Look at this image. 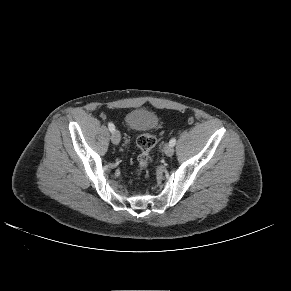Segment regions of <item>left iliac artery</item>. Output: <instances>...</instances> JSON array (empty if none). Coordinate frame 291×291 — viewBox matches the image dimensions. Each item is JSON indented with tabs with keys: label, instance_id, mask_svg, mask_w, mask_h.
Wrapping results in <instances>:
<instances>
[{
	"label": "left iliac artery",
	"instance_id": "44dca946",
	"mask_svg": "<svg viewBox=\"0 0 291 291\" xmlns=\"http://www.w3.org/2000/svg\"><path fill=\"white\" fill-rule=\"evenodd\" d=\"M169 144L171 146H174L176 144V139L175 138H172L170 141H169Z\"/></svg>",
	"mask_w": 291,
	"mask_h": 291
}]
</instances>
